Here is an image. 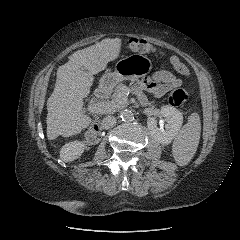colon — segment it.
I'll list each match as a JSON object with an SVG mask.
<instances>
[{
    "mask_svg": "<svg viewBox=\"0 0 240 240\" xmlns=\"http://www.w3.org/2000/svg\"><path fill=\"white\" fill-rule=\"evenodd\" d=\"M125 47L128 51L139 52V53H156L157 48L149 43L145 39L141 38H130L125 42ZM188 100V93L184 89H175L169 96V103L172 106H181ZM99 138V128L96 124L95 127L85 134V144L87 146L95 143Z\"/></svg>",
    "mask_w": 240,
    "mask_h": 240,
    "instance_id": "obj_1",
    "label": "colon"
}]
</instances>
